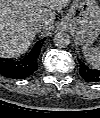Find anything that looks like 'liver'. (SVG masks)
Instances as JSON below:
<instances>
[{
    "instance_id": "liver-1",
    "label": "liver",
    "mask_w": 100,
    "mask_h": 118,
    "mask_svg": "<svg viewBox=\"0 0 100 118\" xmlns=\"http://www.w3.org/2000/svg\"><path fill=\"white\" fill-rule=\"evenodd\" d=\"M70 1L0 0V57L14 59L24 55L36 36L34 26L45 24L49 30L55 10L66 7Z\"/></svg>"
}]
</instances>
